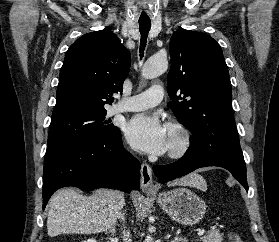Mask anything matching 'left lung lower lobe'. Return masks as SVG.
I'll list each match as a JSON object with an SVG mask.
<instances>
[{
  "instance_id": "1",
  "label": "left lung lower lobe",
  "mask_w": 279,
  "mask_h": 242,
  "mask_svg": "<svg viewBox=\"0 0 279 242\" xmlns=\"http://www.w3.org/2000/svg\"><path fill=\"white\" fill-rule=\"evenodd\" d=\"M207 166H218L229 170L232 175L248 191L246 178V166L244 161L220 155L208 156H186L168 165H155L153 171L159 178L160 183L184 176L198 168Z\"/></svg>"
}]
</instances>
